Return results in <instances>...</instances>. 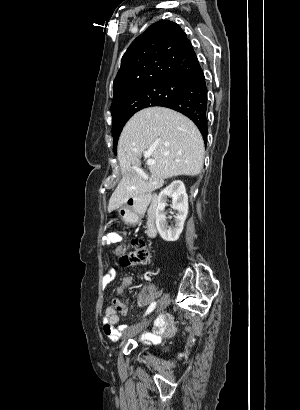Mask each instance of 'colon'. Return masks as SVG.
<instances>
[{"label":"colon","mask_w":300,"mask_h":410,"mask_svg":"<svg viewBox=\"0 0 300 410\" xmlns=\"http://www.w3.org/2000/svg\"><path fill=\"white\" fill-rule=\"evenodd\" d=\"M150 249L143 238H133L129 244L127 253L120 257V263L124 267H135L148 263Z\"/></svg>","instance_id":"1"}]
</instances>
